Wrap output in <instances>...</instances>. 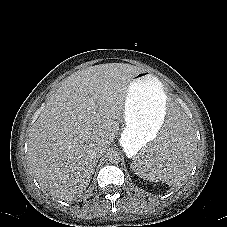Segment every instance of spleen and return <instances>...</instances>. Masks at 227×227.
I'll return each instance as SVG.
<instances>
[{
  "label": "spleen",
  "mask_w": 227,
  "mask_h": 227,
  "mask_svg": "<svg viewBox=\"0 0 227 227\" xmlns=\"http://www.w3.org/2000/svg\"><path fill=\"white\" fill-rule=\"evenodd\" d=\"M196 137L191 122L179 108L166 114L163 140L142 148L129 160L130 169L149 181L181 184L196 163Z\"/></svg>",
  "instance_id": "1"
}]
</instances>
